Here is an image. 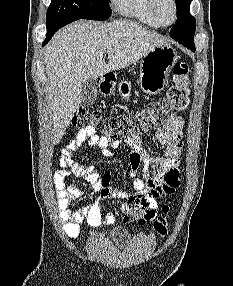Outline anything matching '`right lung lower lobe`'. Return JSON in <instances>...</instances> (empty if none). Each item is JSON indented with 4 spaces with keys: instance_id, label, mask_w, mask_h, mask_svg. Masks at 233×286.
Here are the masks:
<instances>
[{
    "instance_id": "1",
    "label": "right lung lower lobe",
    "mask_w": 233,
    "mask_h": 286,
    "mask_svg": "<svg viewBox=\"0 0 233 286\" xmlns=\"http://www.w3.org/2000/svg\"><path fill=\"white\" fill-rule=\"evenodd\" d=\"M75 21V19L72 18H65V19H61L58 20L52 24L47 25V35H46V39L43 42V45H45L51 38L52 36L55 34V32L60 29L61 27L71 23Z\"/></svg>"
}]
</instances>
